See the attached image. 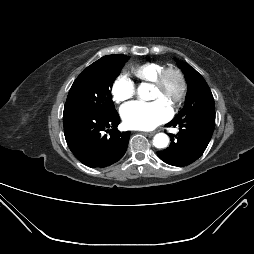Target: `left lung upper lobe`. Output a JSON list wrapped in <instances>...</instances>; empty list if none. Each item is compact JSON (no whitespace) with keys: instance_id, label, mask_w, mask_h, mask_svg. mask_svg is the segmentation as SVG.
I'll list each match as a JSON object with an SVG mask.
<instances>
[{"instance_id":"5c2ea615","label":"left lung upper lobe","mask_w":254,"mask_h":254,"mask_svg":"<svg viewBox=\"0 0 254 254\" xmlns=\"http://www.w3.org/2000/svg\"><path fill=\"white\" fill-rule=\"evenodd\" d=\"M176 61L184 72L188 85L185 105L180 112H184L192 106H204L215 109L213 95L204 78L187 63L180 62L179 60Z\"/></svg>"}]
</instances>
